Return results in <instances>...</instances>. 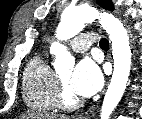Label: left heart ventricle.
I'll return each mask as SVG.
<instances>
[{"label":"left heart ventricle","instance_id":"1","mask_svg":"<svg viewBox=\"0 0 142 119\" xmlns=\"http://www.w3.org/2000/svg\"><path fill=\"white\" fill-rule=\"evenodd\" d=\"M70 77H71V75L68 73V74H65V75L61 76V80H62V81L64 82V84L66 85L68 91H69L72 95H74L73 92H72V91L70 90V88H69V80H70Z\"/></svg>","mask_w":142,"mask_h":119}]
</instances>
